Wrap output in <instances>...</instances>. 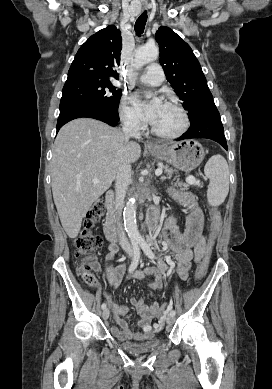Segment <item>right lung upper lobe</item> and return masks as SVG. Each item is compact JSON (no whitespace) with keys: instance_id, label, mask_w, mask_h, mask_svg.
I'll return each instance as SVG.
<instances>
[{"instance_id":"1","label":"right lung upper lobe","mask_w":272,"mask_h":389,"mask_svg":"<svg viewBox=\"0 0 272 389\" xmlns=\"http://www.w3.org/2000/svg\"><path fill=\"white\" fill-rule=\"evenodd\" d=\"M121 32L110 25L92 35L78 50L65 84L85 80L119 79Z\"/></svg>"}]
</instances>
